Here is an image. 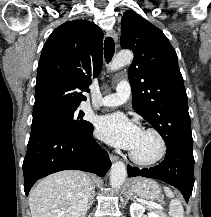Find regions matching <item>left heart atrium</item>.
Masks as SVG:
<instances>
[{
  "label": "left heart atrium",
  "mask_w": 211,
  "mask_h": 217,
  "mask_svg": "<svg viewBox=\"0 0 211 217\" xmlns=\"http://www.w3.org/2000/svg\"><path fill=\"white\" fill-rule=\"evenodd\" d=\"M142 130L120 113L102 116L96 124V134L103 141L124 149L132 150Z\"/></svg>",
  "instance_id": "left-heart-atrium-1"
}]
</instances>
